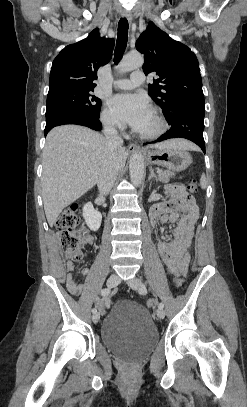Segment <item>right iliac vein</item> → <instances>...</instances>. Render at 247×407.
Returning <instances> with one entry per match:
<instances>
[{"label": "right iliac vein", "instance_id": "63e3f726", "mask_svg": "<svg viewBox=\"0 0 247 407\" xmlns=\"http://www.w3.org/2000/svg\"><path fill=\"white\" fill-rule=\"evenodd\" d=\"M120 279L116 274H111L109 276V278L107 279V286L112 288L118 285ZM100 319V314L99 313H95L92 316V320L94 323H97Z\"/></svg>", "mask_w": 247, "mask_h": 407}]
</instances>
